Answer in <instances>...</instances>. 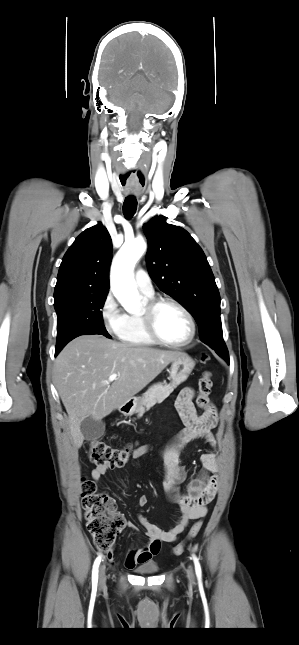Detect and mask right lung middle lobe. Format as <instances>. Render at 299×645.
Here are the masks:
<instances>
[{
	"label": "right lung middle lobe",
	"instance_id": "1",
	"mask_svg": "<svg viewBox=\"0 0 299 645\" xmlns=\"http://www.w3.org/2000/svg\"><path fill=\"white\" fill-rule=\"evenodd\" d=\"M107 293L71 295L54 303L57 313L56 351L84 334H100L111 338L105 329L101 308Z\"/></svg>",
	"mask_w": 299,
	"mask_h": 645
}]
</instances>
